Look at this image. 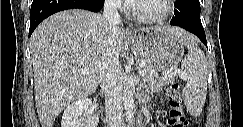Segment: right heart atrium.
I'll return each instance as SVG.
<instances>
[{
	"mask_svg": "<svg viewBox=\"0 0 243 127\" xmlns=\"http://www.w3.org/2000/svg\"><path fill=\"white\" fill-rule=\"evenodd\" d=\"M106 4L112 10H117L121 7V1L119 0H108Z\"/></svg>",
	"mask_w": 243,
	"mask_h": 127,
	"instance_id": "right-heart-atrium-1",
	"label": "right heart atrium"
}]
</instances>
